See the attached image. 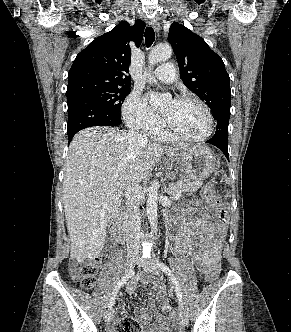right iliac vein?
Listing matches in <instances>:
<instances>
[{"mask_svg":"<svg viewBox=\"0 0 291 332\" xmlns=\"http://www.w3.org/2000/svg\"><path fill=\"white\" fill-rule=\"evenodd\" d=\"M137 262H138V259L134 256L127 258L126 274L133 270V268L135 267ZM113 316H114V311L112 309L109 311H106L104 314L105 322L109 323L113 319Z\"/></svg>","mask_w":291,"mask_h":332,"instance_id":"1","label":"right iliac vein"}]
</instances>
